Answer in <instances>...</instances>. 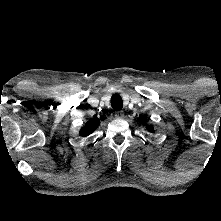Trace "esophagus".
<instances>
[{
	"mask_svg": "<svg viewBox=\"0 0 221 221\" xmlns=\"http://www.w3.org/2000/svg\"><path fill=\"white\" fill-rule=\"evenodd\" d=\"M115 117L116 118H124V112L123 111H116Z\"/></svg>",
	"mask_w": 221,
	"mask_h": 221,
	"instance_id": "obj_1",
	"label": "esophagus"
}]
</instances>
